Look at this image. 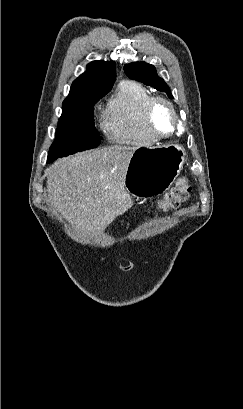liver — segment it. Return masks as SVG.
Instances as JSON below:
<instances>
[{
  "mask_svg": "<svg viewBox=\"0 0 243 409\" xmlns=\"http://www.w3.org/2000/svg\"><path fill=\"white\" fill-rule=\"evenodd\" d=\"M135 147L109 146L58 160L46 170L51 206L78 233L100 234L132 205L124 182Z\"/></svg>",
  "mask_w": 243,
  "mask_h": 409,
  "instance_id": "6515ba94",
  "label": "liver"
}]
</instances>
